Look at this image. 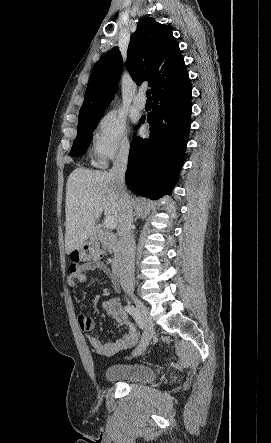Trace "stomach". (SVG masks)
<instances>
[{
    "mask_svg": "<svg viewBox=\"0 0 271 443\" xmlns=\"http://www.w3.org/2000/svg\"><path fill=\"white\" fill-rule=\"evenodd\" d=\"M91 237H97V233H95V231H92V233H90V239Z\"/></svg>",
    "mask_w": 271,
    "mask_h": 443,
    "instance_id": "1",
    "label": "stomach"
}]
</instances>
